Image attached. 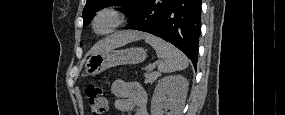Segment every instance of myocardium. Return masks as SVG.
I'll return each instance as SVG.
<instances>
[{
    "label": "myocardium",
    "instance_id": "myocardium-1",
    "mask_svg": "<svg viewBox=\"0 0 285 115\" xmlns=\"http://www.w3.org/2000/svg\"><path fill=\"white\" fill-rule=\"evenodd\" d=\"M103 19L109 21L106 28L100 29L99 24ZM126 21V15L123 10L116 6H106L95 12L91 27L92 30L99 35H108L119 29Z\"/></svg>",
    "mask_w": 285,
    "mask_h": 115
}]
</instances>
